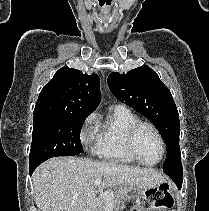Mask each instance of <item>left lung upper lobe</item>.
<instances>
[{
	"label": "left lung upper lobe",
	"instance_id": "5c2ea615",
	"mask_svg": "<svg viewBox=\"0 0 209 211\" xmlns=\"http://www.w3.org/2000/svg\"><path fill=\"white\" fill-rule=\"evenodd\" d=\"M108 86L117 99L147 117L159 130L167 147L163 171H182L179 114L170 90L157 73L147 65L127 74L114 72L108 77Z\"/></svg>",
	"mask_w": 209,
	"mask_h": 211
}]
</instances>
